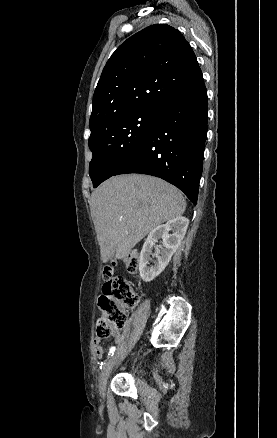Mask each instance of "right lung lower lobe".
Here are the masks:
<instances>
[{
    "instance_id": "1",
    "label": "right lung lower lobe",
    "mask_w": 277,
    "mask_h": 438,
    "mask_svg": "<svg viewBox=\"0 0 277 438\" xmlns=\"http://www.w3.org/2000/svg\"><path fill=\"white\" fill-rule=\"evenodd\" d=\"M170 65L164 67L168 71ZM207 90L203 77L166 98L141 145L113 175L160 177L197 203L207 135Z\"/></svg>"
}]
</instances>
